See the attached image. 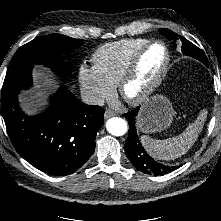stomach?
I'll return each mask as SVG.
<instances>
[{"label":"stomach","mask_w":221,"mask_h":221,"mask_svg":"<svg viewBox=\"0 0 221 221\" xmlns=\"http://www.w3.org/2000/svg\"><path fill=\"white\" fill-rule=\"evenodd\" d=\"M174 117L169 100L156 94L146 99L137 116V126L144 133H155L167 129Z\"/></svg>","instance_id":"stomach-1"}]
</instances>
